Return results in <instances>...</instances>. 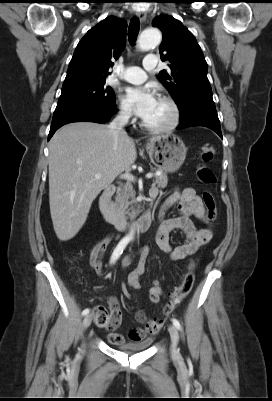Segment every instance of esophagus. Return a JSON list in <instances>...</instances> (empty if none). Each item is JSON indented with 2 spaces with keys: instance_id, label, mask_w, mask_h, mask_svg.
I'll use <instances>...</instances> for the list:
<instances>
[{
  "instance_id": "34e87169",
  "label": "esophagus",
  "mask_w": 272,
  "mask_h": 401,
  "mask_svg": "<svg viewBox=\"0 0 272 401\" xmlns=\"http://www.w3.org/2000/svg\"><path fill=\"white\" fill-rule=\"evenodd\" d=\"M136 15L140 19V21H144L146 19V13L143 11H137Z\"/></svg>"
}]
</instances>
